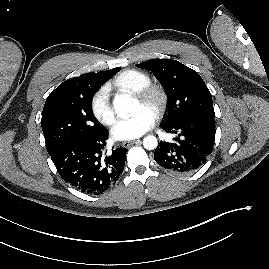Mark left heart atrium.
<instances>
[{
    "label": "left heart atrium",
    "mask_w": 269,
    "mask_h": 269,
    "mask_svg": "<svg viewBox=\"0 0 269 269\" xmlns=\"http://www.w3.org/2000/svg\"><path fill=\"white\" fill-rule=\"evenodd\" d=\"M155 114L146 107L140 108L133 116L119 120L113 130L118 140H132L142 136L155 124Z\"/></svg>",
    "instance_id": "obj_1"
}]
</instances>
